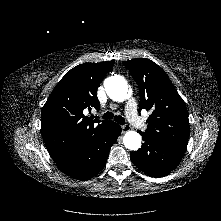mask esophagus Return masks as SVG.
<instances>
[{
  "label": "esophagus",
  "instance_id": "obj_1",
  "mask_svg": "<svg viewBox=\"0 0 221 221\" xmlns=\"http://www.w3.org/2000/svg\"><path fill=\"white\" fill-rule=\"evenodd\" d=\"M129 130H130V126H128V125H123L122 126V132H127Z\"/></svg>",
  "mask_w": 221,
  "mask_h": 221
}]
</instances>
